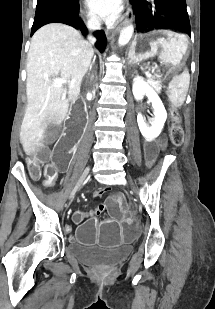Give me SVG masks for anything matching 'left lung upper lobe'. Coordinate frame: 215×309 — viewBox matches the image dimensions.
Returning a JSON list of instances; mask_svg holds the SVG:
<instances>
[{
  "mask_svg": "<svg viewBox=\"0 0 215 309\" xmlns=\"http://www.w3.org/2000/svg\"><path fill=\"white\" fill-rule=\"evenodd\" d=\"M137 31L179 29L191 35L185 0H131Z\"/></svg>",
  "mask_w": 215,
  "mask_h": 309,
  "instance_id": "1",
  "label": "left lung upper lobe"
}]
</instances>
